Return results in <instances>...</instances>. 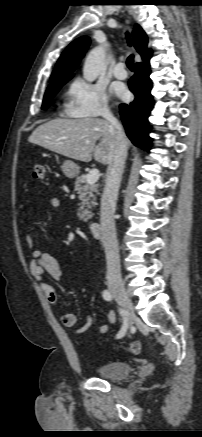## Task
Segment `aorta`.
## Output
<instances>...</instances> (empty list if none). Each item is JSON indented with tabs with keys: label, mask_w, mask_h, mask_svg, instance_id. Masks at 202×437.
I'll use <instances>...</instances> for the list:
<instances>
[{
	"label": "aorta",
	"mask_w": 202,
	"mask_h": 437,
	"mask_svg": "<svg viewBox=\"0 0 202 437\" xmlns=\"http://www.w3.org/2000/svg\"><path fill=\"white\" fill-rule=\"evenodd\" d=\"M105 57L106 52L103 46H98L89 52L83 67V77L86 81L93 82L106 70Z\"/></svg>",
	"instance_id": "1"
}]
</instances>
